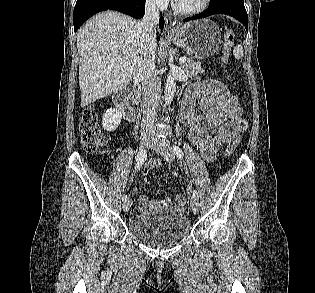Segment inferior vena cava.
I'll use <instances>...</instances> for the list:
<instances>
[{
    "label": "inferior vena cava",
    "instance_id": "inferior-vena-cava-1",
    "mask_svg": "<svg viewBox=\"0 0 315 293\" xmlns=\"http://www.w3.org/2000/svg\"><path fill=\"white\" fill-rule=\"evenodd\" d=\"M159 21V10L155 0H146L145 14L140 22L142 34L143 57L137 68L136 76L142 81L143 91V118L141 133H151L156 118V108L161 95V81L152 70L155 59V37L156 25Z\"/></svg>",
    "mask_w": 315,
    "mask_h": 293
}]
</instances>
